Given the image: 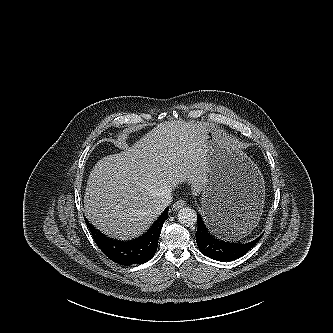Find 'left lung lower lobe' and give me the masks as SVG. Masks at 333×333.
Wrapping results in <instances>:
<instances>
[{"label": "left lung lower lobe", "instance_id": "obj_1", "mask_svg": "<svg viewBox=\"0 0 333 333\" xmlns=\"http://www.w3.org/2000/svg\"><path fill=\"white\" fill-rule=\"evenodd\" d=\"M197 223L198 228L195 236L199 250L205 256L221 262L232 261L243 256L262 237L261 235L255 240L245 244L225 242L210 234L200 215H198Z\"/></svg>", "mask_w": 333, "mask_h": 333}]
</instances>
